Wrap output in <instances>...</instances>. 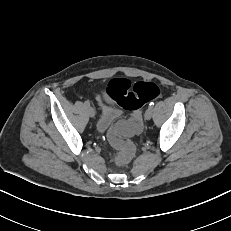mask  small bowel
Returning <instances> with one entry per match:
<instances>
[{
	"mask_svg": "<svg viewBox=\"0 0 231 231\" xmlns=\"http://www.w3.org/2000/svg\"><path fill=\"white\" fill-rule=\"evenodd\" d=\"M105 99L107 102L112 103V100L107 95H105Z\"/></svg>",
	"mask_w": 231,
	"mask_h": 231,
	"instance_id": "1",
	"label": "small bowel"
}]
</instances>
